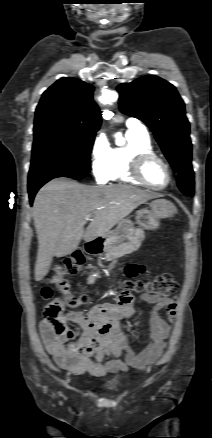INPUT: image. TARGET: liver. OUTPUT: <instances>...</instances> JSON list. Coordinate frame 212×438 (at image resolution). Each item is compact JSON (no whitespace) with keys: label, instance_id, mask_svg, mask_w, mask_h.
<instances>
[{"label":"liver","instance_id":"1","mask_svg":"<svg viewBox=\"0 0 212 438\" xmlns=\"http://www.w3.org/2000/svg\"><path fill=\"white\" fill-rule=\"evenodd\" d=\"M159 194L128 185L88 186L54 179L37 193L33 220L38 238L35 280L48 273L53 256L63 257L86 242L105 237L133 210ZM94 220L86 229V217Z\"/></svg>","mask_w":212,"mask_h":438}]
</instances>
